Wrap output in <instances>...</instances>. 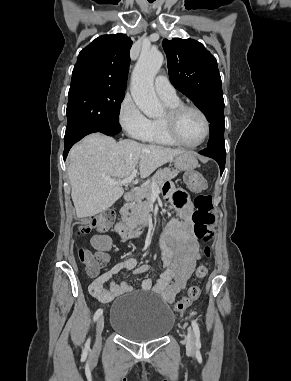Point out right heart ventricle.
<instances>
[{"label":"right heart ventricle","mask_w":291,"mask_h":381,"mask_svg":"<svg viewBox=\"0 0 291 381\" xmlns=\"http://www.w3.org/2000/svg\"><path fill=\"white\" fill-rule=\"evenodd\" d=\"M164 102L166 103L168 107H173L178 104H181L178 98L175 100H164ZM142 140L151 144H156V145H163V146L177 145L164 132L160 122V118H152L149 120L148 131Z\"/></svg>","instance_id":"e07e8e85"}]
</instances>
